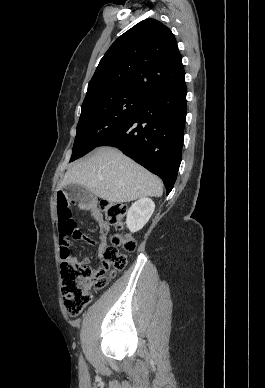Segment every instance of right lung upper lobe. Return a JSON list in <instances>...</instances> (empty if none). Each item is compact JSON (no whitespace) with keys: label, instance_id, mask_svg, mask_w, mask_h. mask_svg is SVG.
I'll use <instances>...</instances> for the list:
<instances>
[{"label":"right lung upper lobe","instance_id":"1","mask_svg":"<svg viewBox=\"0 0 265 388\" xmlns=\"http://www.w3.org/2000/svg\"><path fill=\"white\" fill-rule=\"evenodd\" d=\"M184 75L171 30L155 19H145L114 41L100 60L86 96L101 90L144 96Z\"/></svg>","mask_w":265,"mask_h":388}]
</instances>
